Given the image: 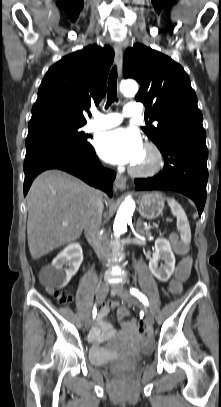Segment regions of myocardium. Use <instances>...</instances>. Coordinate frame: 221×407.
I'll return each mask as SVG.
<instances>
[{
    "label": "myocardium",
    "mask_w": 221,
    "mask_h": 407,
    "mask_svg": "<svg viewBox=\"0 0 221 407\" xmlns=\"http://www.w3.org/2000/svg\"><path fill=\"white\" fill-rule=\"evenodd\" d=\"M144 148L152 154L153 163L150 167L144 168V169H140V168H136L135 166H132L129 169V171L133 176L144 177V178L152 177V176L158 174L164 166V156L156 144H154L152 142H147V143H145Z\"/></svg>",
    "instance_id": "obj_1"
}]
</instances>
